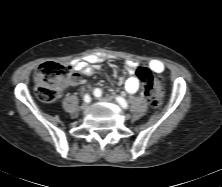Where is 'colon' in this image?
Listing matches in <instances>:
<instances>
[{
    "instance_id": "1",
    "label": "colon",
    "mask_w": 222,
    "mask_h": 187,
    "mask_svg": "<svg viewBox=\"0 0 222 187\" xmlns=\"http://www.w3.org/2000/svg\"><path fill=\"white\" fill-rule=\"evenodd\" d=\"M136 75L144 96L152 106L158 107L164 95L161 82L146 67L139 68ZM74 78L70 66L55 61L45 62L35 73L36 93L43 101L52 102L58 97L61 90L74 81Z\"/></svg>"
}]
</instances>
